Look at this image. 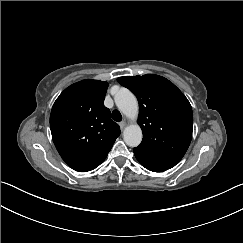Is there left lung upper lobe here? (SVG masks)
Masks as SVG:
<instances>
[{
    "label": "left lung upper lobe",
    "instance_id": "1",
    "mask_svg": "<svg viewBox=\"0 0 243 243\" xmlns=\"http://www.w3.org/2000/svg\"><path fill=\"white\" fill-rule=\"evenodd\" d=\"M117 81L139 102L138 124L143 131L136 158L170 169L186 153L193 129L192 108L184 94L169 80L155 74L124 76Z\"/></svg>",
    "mask_w": 243,
    "mask_h": 243
}]
</instances>
